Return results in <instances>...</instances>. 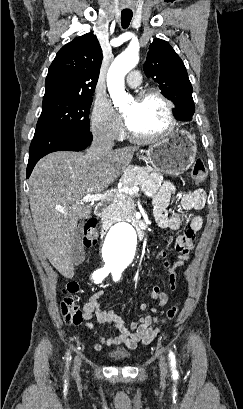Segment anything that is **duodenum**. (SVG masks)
<instances>
[{"label":"duodenum","mask_w":243,"mask_h":409,"mask_svg":"<svg viewBox=\"0 0 243 409\" xmlns=\"http://www.w3.org/2000/svg\"><path fill=\"white\" fill-rule=\"evenodd\" d=\"M111 204H112V199H107V200H104L98 203L95 208L96 216L103 217V222L101 226L102 235L106 234V232L109 230V228L114 223V221L111 218L105 217V213L110 208ZM132 224L137 231L139 239H143L144 234H145L143 225L138 220L132 221Z\"/></svg>","instance_id":"410a0bca"}]
</instances>
